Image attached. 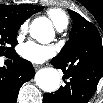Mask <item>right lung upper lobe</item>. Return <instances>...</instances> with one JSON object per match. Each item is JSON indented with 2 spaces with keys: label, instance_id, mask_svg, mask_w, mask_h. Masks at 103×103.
<instances>
[{
  "label": "right lung upper lobe",
  "instance_id": "1",
  "mask_svg": "<svg viewBox=\"0 0 103 103\" xmlns=\"http://www.w3.org/2000/svg\"><path fill=\"white\" fill-rule=\"evenodd\" d=\"M43 9V6L21 4V5H0V15L11 20L24 22L34 13Z\"/></svg>",
  "mask_w": 103,
  "mask_h": 103
}]
</instances>
